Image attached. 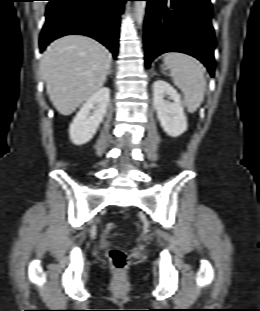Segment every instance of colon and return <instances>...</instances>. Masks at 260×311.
Returning a JSON list of instances; mask_svg holds the SVG:
<instances>
[{
  "mask_svg": "<svg viewBox=\"0 0 260 311\" xmlns=\"http://www.w3.org/2000/svg\"><path fill=\"white\" fill-rule=\"evenodd\" d=\"M114 223H107L104 228V233L109 234L115 229ZM108 259L111 266L117 271H123L128 266V256L121 249H110L108 251Z\"/></svg>",
  "mask_w": 260,
  "mask_h": 311,
  "instance_id": "colon-1",
  "label": "colon"
}]
</instances>
